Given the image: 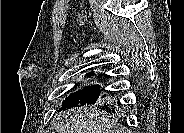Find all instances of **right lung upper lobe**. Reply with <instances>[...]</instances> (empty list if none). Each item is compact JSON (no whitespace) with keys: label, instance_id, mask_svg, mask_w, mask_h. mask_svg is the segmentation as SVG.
<instances>
[{"label":"right lung upper lobe","instance_id":"right-lung-upper-lobe-1","mask_svg":"<svg viewBox=\"0 0 184 133\" xmlns=\"http://www.w3.org/2000/svg\"><path fill=\"white\" fill-rule=\"evenodd\" d=\"M94 75V72H89L86 74L87 77Z\"/></svg>","mask_w":184,"mask_h":133}]
</instances>
